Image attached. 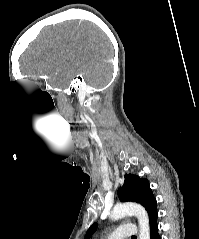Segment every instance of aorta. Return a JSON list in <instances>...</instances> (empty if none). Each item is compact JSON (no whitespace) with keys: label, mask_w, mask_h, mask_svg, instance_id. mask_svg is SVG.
<instances>
[{"label":"aorta","mask_w":199,"mask_h":239,"mask_svg":"<svg viewBox=\"0 0 199 239\" xmlns=\"http://www.w3.org/2000/svg\"><path fill=\"white\" fill-rule=\"evenodd\" d=\"M134 215L138 219V239H150L149 218L144 207L136 203L116 204L110 214L111 220L117 221L125 216Z\"/></svg>","instance_id":"aorta-1"}]
</instances>
